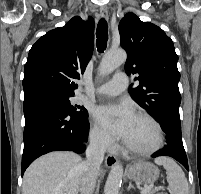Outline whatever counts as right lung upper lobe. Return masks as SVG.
Segmentation results:
<instances>
[{"label": "right lung upper lobe", "mask_w": 201, "mask_h": 194, "mask_svg": "<svg viewBox=\"0 0 201 194\" xmlns=\"http://www.w3.org/2000/svg\"><path fill=\"white\" fill-rule=\"evenodd\" d=\"M73 17L63 27L47 32L32 46L25 64V99L36 96H74L77 84L91 58L94 21Z\"/></svg>", "instance_id": "right-lung-upper-lobe-1"}]
</instances>
